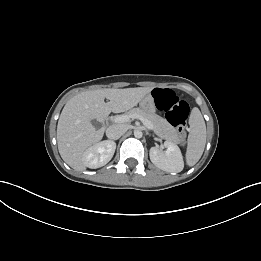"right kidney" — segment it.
<instances>
[{"mask_svg":"<svg viewBox=\"0 0 261 261\" xmlns=\"http://www.w3.org/2000/svg\"><path fill=\"white\" fill-rule=\"evenodd\" d=\"M116 143L110 140L102 141L89 147L84 153V164L91 169L106 165L113 157Z\"/></svg>","mask_w":261,"mask_h":261,"instance_id":"obj_1","label":"right kidney"}]
</instances>
